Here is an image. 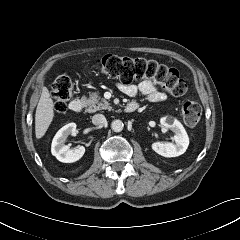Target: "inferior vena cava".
<instances>
[{"mask_svg":"<svg viewBox=\"0 0 240 240\" xmlns=\"http://www.w3.org/2000/svg\"><path fill=\"white\" fill-rule=\"evenodd\" d=\"M105 122H106V118L103 114H95L92 117V123L94 125H101V124H104Z\"/></svg>","mask_w":240,"mask_h":240,"instance_id":"inferior-vena-cava-1","label":"inferior vena cava"}]
</instances>
